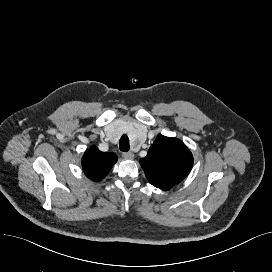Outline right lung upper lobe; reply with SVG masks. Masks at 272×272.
Instances as JSON below:
<instances>
[{
  "label": "right lung upper lobe",
  "mask_w": 272,
  "mask_h": 272,
  "mask_svg": "<svg viewBox=\"0 0 272 272\" xmlns=\"http://www.w3.org/2000/svg\"><path fill=\"white\" fill-rule=\"evenodd\" d=\"M117 161V156L111 152H101L97 147H91L82 158L83 171L93 181H100L111 170Z\"/></svg>",
  "instance_id": "obj_1"
}]
</instances>
